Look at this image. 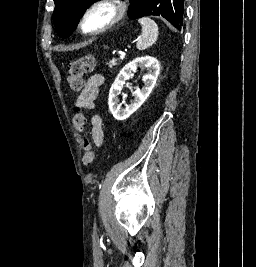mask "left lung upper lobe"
I'll use <instances>...</instances> for the list:
<instances>
[{
  "mask_svg": "<svg viewBox=\"0 0 256 267\" xmlns=\"http://www.w3.org/2000/svg\"><path fill=\"white\" fill-rule=\"evenodd\" d=\"M98 0H54L53 21L57 33L68 37L75 30L86 8ZM130 17L162 16L175 27V0H131Z\"/></svg>",
  "mask_w": 256,
  "mask_h": 267,
  "instance_id": "5c2ea615",
  "label": "left lung upper lobe"
}]
</instances>
